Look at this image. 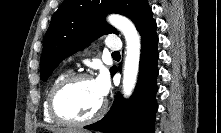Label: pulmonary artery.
<instances>
[{
	"instance_id": "obj_1",
	"label": "pulmonary artery",
	"mask_w": 221,
	"mask_h": 133,
	"mask_svg": "<svg viewBox=\"0 0 221 133\" xmlns=\"http://www.w3.org/2000/svg\"><path fill=\"white\" fill-rule=\"evenodd\" d=\"M105 46L108 50L117 52L121 49L122 43L116 36H109L105 41Z\"/></svg>"
}]
</instances>
